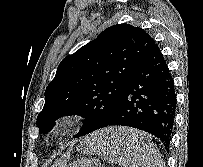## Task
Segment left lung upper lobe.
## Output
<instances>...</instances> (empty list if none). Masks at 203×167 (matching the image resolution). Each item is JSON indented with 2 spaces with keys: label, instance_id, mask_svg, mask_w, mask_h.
<instances>
[{
  "label": "left lung upper lobe",
  "instance_id": "5c2ea615",
  "mask_svg": "<svg viewBox=\"0 0 203 167\" xmlns=\"http://www.w3.org/2000/svg\"><path fill=\"white\" fill-rule=\"evenodd\" d=\"M155 46L143 29L123 23L65 57L46 88L36 121L39 133H48L54 121L68 115L85 118L74 138L97 130L113 115L131 74Z\"/></svg>",
  "mask_w": 203,
  "mask_h": 167
}]
</instances>
